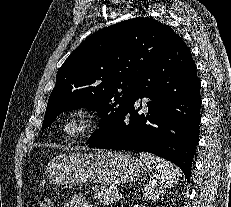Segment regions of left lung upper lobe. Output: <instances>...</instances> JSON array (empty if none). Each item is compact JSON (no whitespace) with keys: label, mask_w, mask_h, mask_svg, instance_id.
I'll return each instance as SVG.
<instances>
[{"label":"left lung upper lobe","mask_w":231,"mask_h":207,"mask_svg":"<svg viewBox=\"0 0 231 207\" xmlns=\"http://www.w3.org/2000/svg\"><path fill=\"white\" fill-rule=\"evenodd\" d=\"M179 36L153 18H135L88 37L59 68L41 129L67 110L88 107L101 117L89 142L114 133L138 95L146 67Z\"/></svg>","instance_id":"left-lung-upper-lobe-1"}]
</instances>
